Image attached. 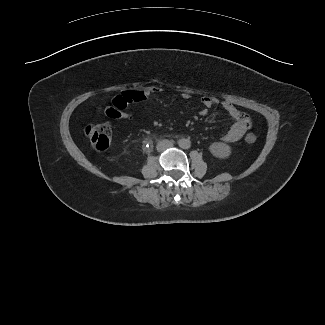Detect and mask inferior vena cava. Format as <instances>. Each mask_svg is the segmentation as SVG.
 Segmentation results:
<instances>
[{"label":"inferior vena cava","mask_w":325,"mask_h":325,"mask_svg":"<svg viewBox=\"0 0 325 325\" xmlns=\"http://www.w3.org/2000/svg\"><path fill=\"white\" fill-rule=\"evenodd\" d=\"M173 143L169 140H162L157 144V150L159 152L165 151L168 148H171Z\"/></svg>","instance_id":"obj_1"}]
</instances>
